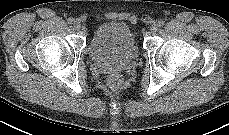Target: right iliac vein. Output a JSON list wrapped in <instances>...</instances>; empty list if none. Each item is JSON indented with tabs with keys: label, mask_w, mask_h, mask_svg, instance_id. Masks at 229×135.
<instances>
[{
	"label": "right iliac vein",
	"mask_w": 229,
	"mask_h": 135,
	"mask_svg": "<svg viewBox=\"0 0 229 135\" xmlns=\"http://www.w3.org/2000/svg\"><path fill=\"white\" fill-rule=\"evenodd\" d=\"M74 28H75L76 30H79V29L81 28L80 22L76 21V22L74 23Z\"/></svg>",
	"instance_id": "right-iliac-vein-1"
}]
</instances>
